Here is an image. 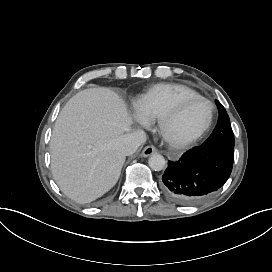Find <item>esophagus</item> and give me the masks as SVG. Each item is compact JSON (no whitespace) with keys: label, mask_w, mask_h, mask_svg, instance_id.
Listing matches in <instances>:
<instances>
[{"label":"esophagus","mask_w":272,"mask_h":272,"mask_svg":"<svg viewBox=\"0 0 272 272\" xmlns=\"http://www.w3.org/2000/svg\"><path fill=\"white\" fill-rule=\"evenodd\" d=\"M157 152L154 146H146L142 151V156L147 157Z\"/></svg>","instance_id":"obj_1"}]
</instances>
